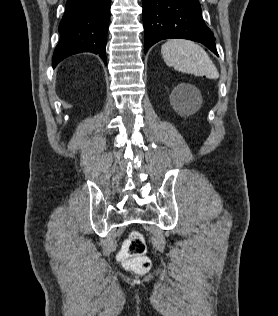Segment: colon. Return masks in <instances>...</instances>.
Returning <instances> with one entry per match:
<instances>
[{"mask_svg":"<svg viewBox=\"0 0 278 316\" xmlns=\"http://www.w3.org/2000/svg\"><path fill=\"white\" fill-rule=\"evenodd\" d=\"M147 245L143 234L132 231L124 241L119 252V260L129 269L146 272L150 269V260L145 256Z\"/></svg>","mask_w":278,"mask_h":316,"instance_id":"obj_1","label":"colon"}]
</instances>
